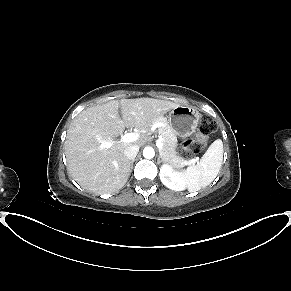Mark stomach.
Segmentation results:
<instances>
[{
	"label": "stomach",
	"mask_w": 291,
	"mask_h": 291,
	"mask_svg": "<svg viewBox=\"0 0 291 291\" xmlns=\"http://www.w3.org/2000/svg\"><path fill=\"white\" fill-rule=\"evenodd\" d=\"M201 114L188 106H177L169 113V123L176 135L187 137L192 135L199 124Z\"/></svg>",
	"instance_id": "stomach-1"
}]
</instances>
